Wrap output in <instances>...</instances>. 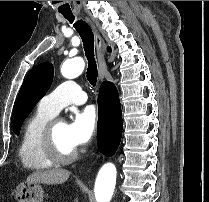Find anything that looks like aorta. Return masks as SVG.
<instances>
[{
	"label": "aorta",
	"instance_id": "762f6f07",
	"mask_svg": "<svg viewBox=\"0 0 209 202\" xmlns=\"http://www.w3.org/2000/svg\"><path fill=\"white\" fill-rule=\"evenodd\" d=\"M85 67L84 60L80 57L66 60L61 67V74L68 79L76 78L82 74ZM117 171L112 163L104 164L98 172L94 195L96 202H110L115 185Z\"/></svg>",
	"mask_w": 209,
	"mask_h": 202
}]
</instances>
